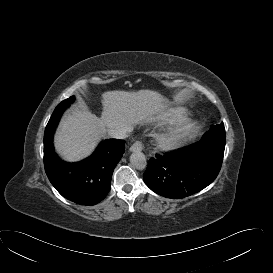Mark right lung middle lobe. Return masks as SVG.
Wrapping results in <instances>:
<instances>
[{"label":"right lung middle lobe","instance_id":"right-lung-middle-lobe-1","mask_svg":"<svg viewBox=\"0 0 273 273\" xmlns=\"http://www.w3.org/2000/svg\"><path fill=\"white\" fill-rule=\"evenodd\" d=\"M74 100H75V97H74V96H71L70 98H68V99H66V100H64V101H62L58 106H59V107H62V108H67V107H69V105H70L71 103L74 102Z\"/></svg>","mask_w":273,"mask_h":273}]
</instances>
